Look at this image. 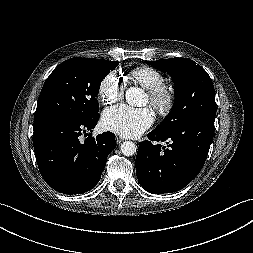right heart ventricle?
Here are the masks:
<instances>
[{
  "label": "right heart ventricle",
  "instance_id": "right-heart-ventricle-1",
  "mask_svg": "<svg viewBox=\"0 0 253 253\" xmlns=\"http://www.w3.org/2000/svg\"><path fill=\"white\" fill-rule=\"evenodd\" d=\"M132 81L138 83L149 90L164 82L163 75L155 68L150 66H140L134 68L129 74Z\"/></svg>",
  "mask_w": 253,
  "mask_h": 253
}]
</instances>
